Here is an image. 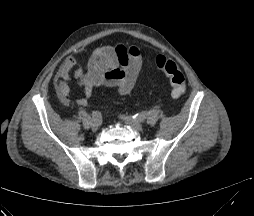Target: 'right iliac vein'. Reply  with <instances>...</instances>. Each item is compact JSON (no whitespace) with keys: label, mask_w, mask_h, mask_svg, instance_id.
<instances>
[{"label":"right iliac vein","mask_w":254,"mask_h":216,"mask_svg":"<svg viewBox=\"0 0 254 216\" xmlns=\"http://www.w3.org/2000/svg\"><path fill=\"white\" fill-rule=\"evenodd\" d=\"M99 127H100V123L99 122L92 121V123H91V129H92V131H97L99 129Z\"/></svg>","instance_id":"63e3f726"}]
</instances>
